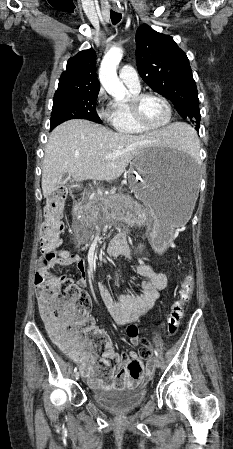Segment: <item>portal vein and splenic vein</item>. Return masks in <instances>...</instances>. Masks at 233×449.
Wrapping results in <instances>:
<instances>
[{
    "instance_id": "portal-vein-and-splenic-vein-1",
    "label": "portal vein and splenic vein",
    "mask_w": 233,
    "mask_h": 449,
    "mask_svg": "<svg viewBox=\"0 0 233 449\" xmlns=\"http://www.w3.org/2000/svg\"><path fill=\"white\" fill-rule=\"evenodd\" d=\"M112 157H114V154H107L104 158L106 160H110ZM98 193L102 195V191L100 189H98Z\"/></svg>"
}]
</instances>
